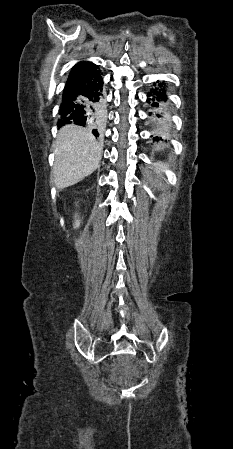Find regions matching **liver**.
I'll list each match as a JSON object with an SVG mask.
<instances>
[{
  "label": "liver",
  "mask_w": 233,
  "mask_h": 449,
  "mask_svg": "<svg viewBox=\"0 0 233 449\" xmlns=\"http://www.w3.org/2000/svg\"><path fill=\"white\" fill-rule=\"evenodd\" d=\"M51 180L58 189L72 186L100 165L102 146L91 132L70 124L60 129L54 145Z\"/></svg>",
  "instance_id": "liver-1"
}]
</instances>
